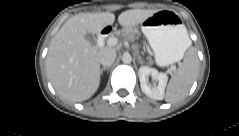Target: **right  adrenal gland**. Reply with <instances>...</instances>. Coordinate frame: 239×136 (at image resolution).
Segmentation results:
<instances>
[{"instance_id":"obj_1","label":"right adrenal gland","mask_w":239,"mask_h":136,"mask_svg":"<svg viewBox=\"0 0 239 136\" xmlns=\"http://www.w3.org/2000/svg\"><path fill=\"white\" fill-rule=\"evenodd\" d=\"M108 69H109V67L104 66V67L101 69V71H100L101 74H103V71H104V70H108Z\"/></svg>"}]
</instances>
